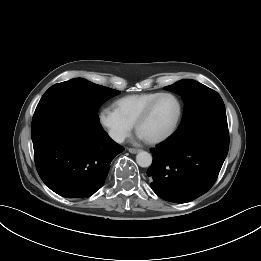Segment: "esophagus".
<instances>
[{
    "label": "esophagus",
    "instance_id": "esophagus-1",
    "mask_svg": "<svg viewBox=\"0 0 261 261\" xmlns=\"http://www.w3.org/2000/svg\"><path fill=\"white\" fill-rule=\"evenodd\" d=\"M128 151L132 154H136L138 153L140 150L139 149H135V148H129Z\"/></svg>",
    "mask_w": 261,
    "mask_h": 261
}]
</instances>
